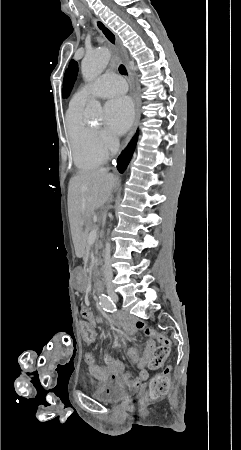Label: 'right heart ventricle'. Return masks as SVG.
<instances>
[{
	"instance_id": "obj_1",
	"label": "right heart ventricle",
	"mask_w": 241,
	"mask_h": 450,
	"mask_svg": "<svg viewBox=\"0 0 241 450\" xmlns=\"http://www.w3.org/2000/svg\"><path fill=\"white\" fill-rule=\"evenodd\" d=\"M84 102L73 100L65 117V129L74 163L78 168L98 167L106 160L101 141H95L82 119Z\"/></svg>"
}]
</instances>
